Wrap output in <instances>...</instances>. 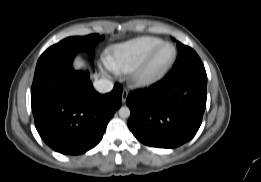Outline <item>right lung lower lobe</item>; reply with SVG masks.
Masks as SVG:
<instances>
[{"mask_svg":"<svg viewBox=\"0 0 261 182\" xmlns=\"http://www.w3.org/2000/svg\"><path fill=\"white\" fill-rule=\"evenodd\" d=\"M76 53L54 56L36 65L31 105L36 129L53 150L82 154L102 139L106 126L121 106L123 88L116 84L97 93L88 73L74 71Z\"/></svg>","mask_w":261,"mask_h":182,"instance_id":"right-lung-lower-lobe-1","label":"right lung lower lobe"}]
</instances>
